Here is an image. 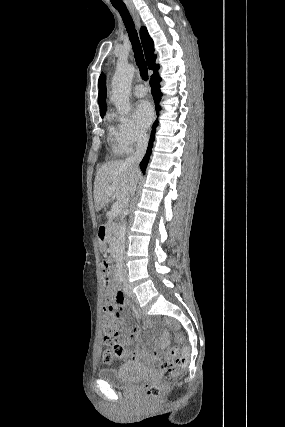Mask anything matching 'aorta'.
<instances>
[{"label":"aorta","mask_w":285,"mask_h":427,"mask_svg":"<svg viewBox=\"0 0 285 427\" xmlns=\"http://www.w3.org/2000/svg\"><path fill=\"white\" fill-rule=\"evenodd\" d=\"M135 68L128 63H118L112 79L111 101L120 114H126L131 109L130 90ZM127 222L124 221L119 229L116 244V262L119 268L123 267L124 246L126 239Z\"/></svg>","instance_id":"aorta-1"}]
</instances>
